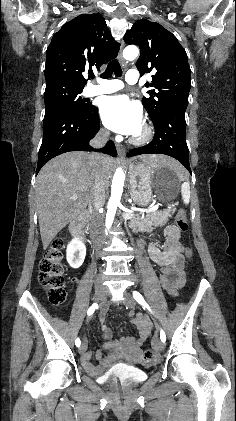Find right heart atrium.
<instances>
[{
  "label": "right heart atrium",
  "mask_w": 236,
  "mask_h": 421,
  "mask_svg": "<svg viewBox=\"0 0 236 421\" xmlns=\"http://www.w3.org/2000/svg\"><path fill=\"white\" fill-rule=\"evenodd\" d=\"M101 132H102L103 134H106V130H104V129H102V130H101Z\"/></svg>",
  "instance_id": "obj_1"
}]
</instances>
